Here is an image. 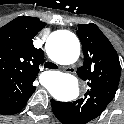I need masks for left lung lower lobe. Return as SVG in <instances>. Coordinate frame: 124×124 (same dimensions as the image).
<instances>
[{
  "instance_id": "1",
  "label": "left lung lower lobe",
  "mask_w": 124,
  "mask_h": 124,
  "mask_svg": "<svg viewBox=\"0 0 124 124\" xmlns=\"http://www.w3.org/2000/svg\"><path fill=\"white\" fill-rule=\"evenodd\" d=\"M52 111L62 124H69L64 115L63 102L51 100Z\"/></svg>"
}]
</instances>
